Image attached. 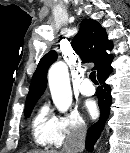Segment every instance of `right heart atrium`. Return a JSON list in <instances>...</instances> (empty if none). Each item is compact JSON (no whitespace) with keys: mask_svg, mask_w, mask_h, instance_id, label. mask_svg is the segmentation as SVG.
<instances>
[{"mask_svg":"<svg viewBox=\"0 0 130 153\" xmlns=\"http://www.w3.org/2000/svg\"><path fill=\"white\" fill-rule=\"evenodd\" d=\"M86 131V122L79 112L73 110L56 117L55 144L61 146L69 139L81 137Z\"/></svg>","mask_w":130,"mask_h":153,"instance_id":"right-heart-atrium-1","label":"right heart atrium"}]
</instances>
